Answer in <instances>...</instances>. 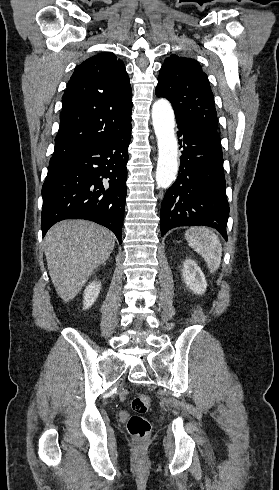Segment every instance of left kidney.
<instances>
[{
  "label": "left kidney",
  "instance_id": "obj_1",
  "mask_svg": "<svg viewBox=\"0 0 279 490\" xmlns=\"http://www.w3.org/2000/svg\"><path fill=\"white\" fill-rule=\"evenodd\" d=\"M182 276L187 288H189L193 294H198V296L205 294L207 282L201 268L197 266L194 260H189V258H187V260L183 262Z\"/></svg>",
  "mask_w": 279,
  "mask_h": 490
}]
</instances>
